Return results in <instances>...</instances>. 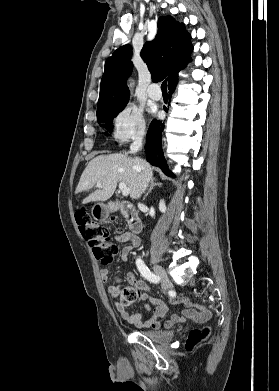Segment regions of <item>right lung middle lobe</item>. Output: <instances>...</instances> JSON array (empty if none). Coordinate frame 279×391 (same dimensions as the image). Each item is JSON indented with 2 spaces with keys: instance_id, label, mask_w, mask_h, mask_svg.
I'll use <instances>...</instances> for the list:
<instances>
[{
  "instance_id": "dd1d6c3e",
  "label": "right lung middle lobe",
  "mask_w": 279,
  "mask_h": 391,
  "mask_svg": "<svg viewBox=\"0 0 279 391\" xmlns=\"http://www.w3.org/2000/svg\"><path fill=\"white\" fill-rule=\"evenodd\" d=\"M123 106H119V107H114V108H109V109H106L102 112H99L97 113V119L99 122H105V123H110L113 118L119 113L122 111ZM106 128L108 129L109 132L112 131V127H109V126H106Z\"/></svg>"
}]
</instances>
